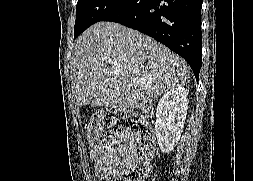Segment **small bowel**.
Listing matches in <instances>:
<instances>
[{"mask_svg": "<svg viewBox=\"0 0 253 181\" xmlns=\"http://www.w3.org/2000/svg\"><path fill=\"white\" fill-rule=\"evenodd\" d=\"M128 148L124 145L115 148L94 149L90 158L93 161L95 176L100 180L108 181V178L115 174L121 163V157L127 154Z\"/></svg>", "mask_w": 253, "mask_h": 181, "instance_id": "small-bowel-1", "label": "small bowel"}]
</instances>
